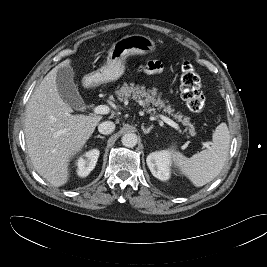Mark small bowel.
<instances>
[{"mask_svg":"<svg viewBox=\"0 0 267 267\" xmlns=\"http://www.w3.org/2000/svg\"><path fill=\"white\" fill-rule=\"evenodd\" d=\"M161 69L159 62H149L142 67V70L145 72H158Z\"/></svg>","mask_w":267,"mask_h":267,"instance_id":"c3829d8e","label":"small bowel"}]
</instances>
